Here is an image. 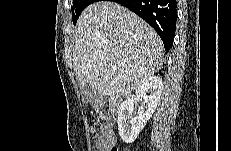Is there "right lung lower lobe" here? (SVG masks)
I'll return each instance as SVG.
<instances>
[{
    "label": "right lung lower lobe",
    "mask_w": 231,
    "mask_h": 151,
    "mask_svg": "<svg viewBox=\"0 0 231 151\" xmlns=\"http://www.w3.org/2000/svg\"><path fill=\"white\" fill-rule=\"evenodd\" d=\"M96 2V1H95ZM136 13L158 33L166 51L172 48L176 29V0H114Z\"/></svg>",
    "instance_id": "98d812e1"
}]
</instances>
